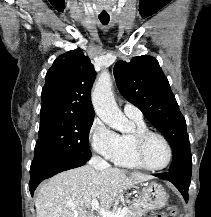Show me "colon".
Here are the masks:
<instances>
[{
	"label": "colon",
	"mask_w": 211,
	"mask_h": 217,
	"mask_svg": "<svg viewBox=\"0 0 211 217\" xmlns=\"http://www.w3.org/2000/svg\"><path fill=\"white\" fill-rule=\"evenodd\" d=\"M177 213H178L177 209L174 206H171L169 208V215L170 216L175 217L177 215ZM157 217H168V215L165 213H162V214L158 215Z\"/></svg>",
	"instance_id": "5ec220e1"
}]
</instances>
